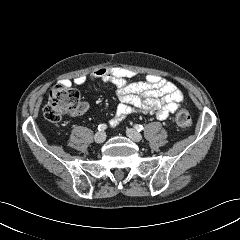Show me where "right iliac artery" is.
Here are the masks:
<instances>
[{"mask_svg":"<svg viewBox=\"0 0 240 240\" xmlns=\"http://www.w3.org/2000/svg\"><path fill=\"white\" fill-rule=\"evenodd\" d=\"M106 128H107V125H106V124H100V125L98 126V130H99V131H104Z\"/></svg>","mask_w":240,"mask_h":240,"instance_id":"82829eb1","label":"right iliac artery"}]
</instances>
